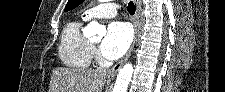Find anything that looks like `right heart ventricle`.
Instances as JSON below:
<instances>
[{"label":"right heart ventricle","instance_id":"obj_1","mask_svg":"<svg viewBox=\"0 0 225 92\" xmlns=\"http://www.w3.org/2000/svg\"><path fill=\"white\" fill-rule=\"evenodd\" d=\"M94 49L82 33V22L71 20L64 27L58 48L61 61L73 68L87 69L93 59Z\"/></svg>","mask_w":225,"mask_h":92}]
</instances>
